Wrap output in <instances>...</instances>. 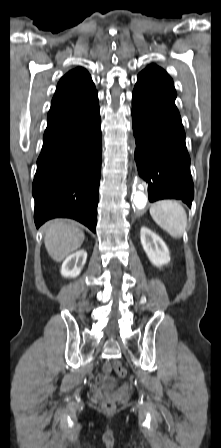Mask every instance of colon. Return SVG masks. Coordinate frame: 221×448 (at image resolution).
Returning a JSON list of instances; mask_svg holds the SVG:
<instances>
[{
	"label": "colon",
	"instance_id": "obj_1",
	"mask_svg": "<svg viewBox=\"0 0 221 448\" xmlns=\"http://www.w3.org/2000/svg\"><path fill=\"white\" fill-rule=\"evenodd\" d=\"M113 371H115L122 378L127 375L126 369L118 361H115L113 363L106 362L103 365V372L105 374H110ZM119 385L120 384L117 383L118 387ZM102 408L107 413H113L116 410V404L113 400L108 399L103 402Z\"/></svg>",
	"mask_w": 221,
	"mask_h": 448
}]
</instances>
